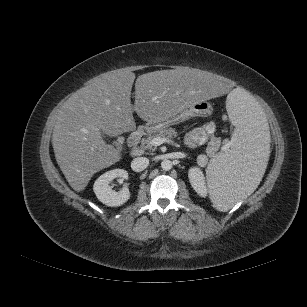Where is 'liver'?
I'll return each instance as SVG.
<instances>
[{"instance_id":"6515ba94","label":"liver","mask_w":307,"mask_h":307,"mask_svg":"<svg viewBox=\"0 0 307 307\" xmlns=\"http://www.w3.org/2000/svg\"><path fill=\"white\" fill-rule=\"evenodd\" d=\"M135 74L122 69L102 74L76 91L61 107L52 135L56 161L69 185L83 191L92 176L120 159L102 132L115 137L135 129V111L144 121L164 119L203 100L225 95L229 86L207 73L190 68L154 71L135 82ZM206 93V96H205Z\"/></svg>"}]
</instances>
